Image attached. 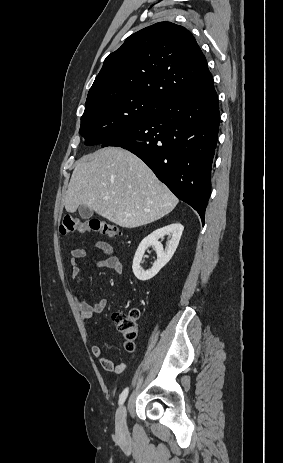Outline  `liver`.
<instances>
[{"label":"liver","mask_w":283,"mask_h":463,"mask_svg":"<svg viewBox=\"0 0 283 463\" xmlns=\"http://www.w3.org/2000/svg\"><path fill=\"white\" fill-rule=\"evenodd\" d=\"M178 198L136 155L107 147L84 155L76 164L65 196V209L81 205L125 228L150 224L170 213Z\"/></svg>","instance_id":"liver-1"}]
</instances>
